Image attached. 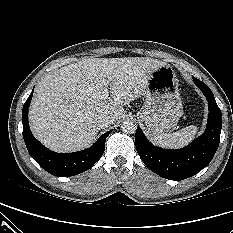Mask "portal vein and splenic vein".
<instances>
[{
	"mask_svg": "<svg viewBox=\"0 0 233 233\" xmlns=\"http://www.w3.org/2000/svg\"><path fill=\"white\" fill-rule=\"evenodd\" d=\"M104 83H105L106 86L109 85V81H105ZM108 97H109V91L106 88V89H104V91L101 94V99L106 100Z\"/></svg>",
	"mask_w": 233,
	"mask_h": 233,
	"instance_id": "obj_1",
	"label": "portal vein and splenic vein"
}]
</instances>
